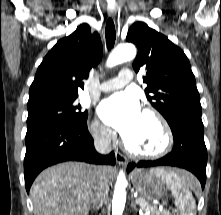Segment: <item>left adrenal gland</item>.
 Segmentation results:
<instances>
[{
    "mask_svg": "<svg viewBox=\"0 0 221 215\" xmlns=\"http://www.w3.org/2000/svg\"><path fill=\"white\" fill-rule=\"evenodd\" d=\"M131 207H132L135 211H137V207H136L135 202H132V203H131Z\"/></svg>",
    "mask_w": 221,
    "mask_h": 215,
    "instance_id": "left-adrenal-gland-1",
    "label": "left adrenal gland"
}]
</instances>
